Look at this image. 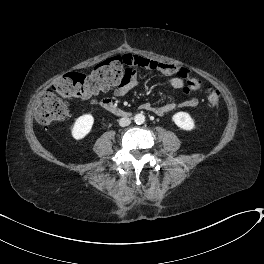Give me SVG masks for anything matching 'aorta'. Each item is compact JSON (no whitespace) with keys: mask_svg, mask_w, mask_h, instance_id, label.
Segmentation results:
<instances>
[{"mask_svg":"<svg viewBox=\"0 0 264 264\" xmlns=\"http://www.w3.org/2000/svg\"><path fill=\"white\" fill-rule=\"evenodd\" d=\"M134 122L138 125H141L145 122V116L142 113L136 114L134 116Z\"/></svg>","mask_w":264,"mask_h":264,"instance_id":"1","label":"aorta"}]
</instances>
